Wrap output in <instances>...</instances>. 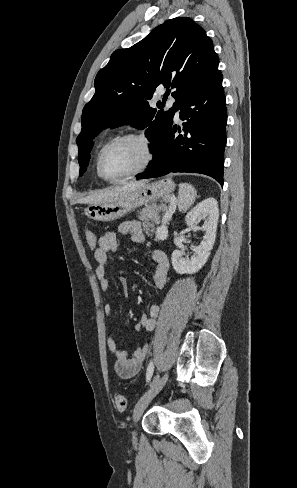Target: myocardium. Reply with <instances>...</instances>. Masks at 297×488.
<instances>
[{
  "label": "myocardium",
  "instance_id": "myocardium-1",
  "mask_svg": "<svg viewBox=\"0 0 297 488\" xmlns=\"http://www.w3.org/2000/svg\"><path fill=\"white\" fill-rule=\"evenodd\" d=\"M130 139L138 140L143 144V146L145 148V152H146V156H145L144 161L136 169H134V170H132L126 174L116 176V177L107 176L105 171H104V167H103V161H104V157H105L107 151L111 147H113L114 145H116L122 141L130 140ZM154 158H155L154 144H153L152 140L146 134H144L142 132H127V133L113 137L109 142H107L105 144V146L102 148L100 155L98 157L97 166H98V171H99L101 178H103L104 180L109 181V182H117L120 180H124V179L130 178V177H133V176L145 171L152 164V162L154 161Z\"/></svg>",
  "mask_w": 297,
  "mask_h": 488
}]
</instances>
